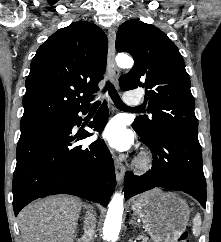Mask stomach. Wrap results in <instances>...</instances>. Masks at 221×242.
Instances as JSON below:
<instances>
[{
	"mask_svg": "<svg viewBox=\"0 0 221 242\" xmlns=\"http://www.w3.org/2000/svg\"><path fill=\"white\" fill-rule=\"evenodd\" d=\"M131 208L142 219L154 242H174L185 230L190 216L183 199L158 189L134 199Z\"/></svg>",
	"mask_w": 221,
	"mask_h": 242,
	"instance_id": "0dacf381",
	"label": "stomach"
}]
</instances>
